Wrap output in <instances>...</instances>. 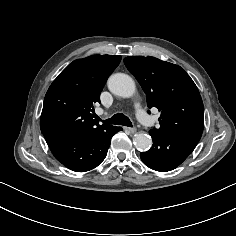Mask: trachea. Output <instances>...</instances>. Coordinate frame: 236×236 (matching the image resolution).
Wrapping results in <instances>:
<instances>
[{
	"label": "trachea",
	"instance_id": "obj_1",
	"mask_svg": "<svg viewBox=\"0 0 236 236\" xmlns=\"http://www.w3.org/2000/svg\"><path fill=\"white\" fill-rule=\"evenodd\" d=\"M96 119L98 121H101V119L98 116L96 117ZM102 121L106 124H116V125L132 127V122L123 113H117L114 116H112L110 119H106Z\"/></svg>",
	"mask_w": 236,
	"mask_h": 236
}]
</instances>
